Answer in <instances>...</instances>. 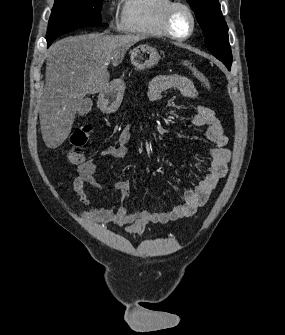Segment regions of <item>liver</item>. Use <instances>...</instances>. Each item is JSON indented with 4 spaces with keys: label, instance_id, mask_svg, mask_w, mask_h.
<instances>
[{
    "label": "liver",
    "instance_id": "obj_1",
    "mask_svg": "<svg viewBox=\"0 0 285 335\" xmlns=\"http://www.w3.org/2000/svg\"><path fill=\"white\" fill-rule=\"evenodd\" d=\"M139 40H145V36L84 34L52 44L40 112L41 134L47 148H58L67 140L83 98L107 88L108 64H121L127 50Z\"/></svg>",
    "mask_w": 285,
    "mask_h": 335
}]
</instances>
